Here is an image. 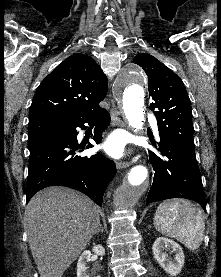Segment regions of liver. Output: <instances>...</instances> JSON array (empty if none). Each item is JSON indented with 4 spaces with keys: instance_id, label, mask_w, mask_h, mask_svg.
<instances>
[{
    "instance_id": "1",
    "label": "liver",
    "mask_w": 221,
    "mask_h": 277,
    "mask_svg": "<svg viewBox=\"0 0 221 277\" xmlns=\"http://www.w3.org/2000/svg\"><path fill=\"white\" fill-rule=\"evenodd\" d=\"M29 246L40 277H62L100 225L99 208L64 187L39 191L25 209Z\"/></svg>"
}]
</instances>
